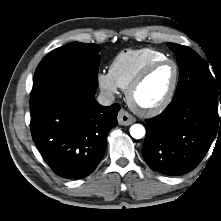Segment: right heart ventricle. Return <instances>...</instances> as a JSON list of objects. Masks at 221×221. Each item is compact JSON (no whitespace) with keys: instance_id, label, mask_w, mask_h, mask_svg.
<instances>
[{"instance_id":"obj_1","label":"right heart ventricle","mask_w":221,"mask_h":221,"mask_svg":"<svg viewBox=\"0 0 221 221\" xmlns=\"http://www.w3.org/2000/svg\"><path fill=\"white\" fill-rule=\"evenodd\" d=\"M167 58L166 55L152 48L127 49L112 60L109 73L118 87L127 89L131 81L148 63Z\"/></svg>"}]
</instances>
